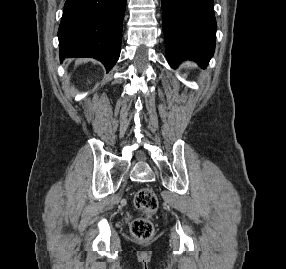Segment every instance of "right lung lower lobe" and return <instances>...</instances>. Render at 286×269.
Returning <instances> with one entry per match:
<instances>
[{
	"mask_svg": "<svg viewBox=\"0 0 286 269\" xmlns=\"http://www.w3.org/2000/svg\"><path fill=\"white\" fill-rule=\"evenodd\" d=\"M126 0H66L58 30L60 58L92 57L107 72L120 55Z\"/></svg>",
	"mask_w": 286,
	"mask_h": 269,
	"instance_id": "right-lung-lower-lobe-1",
	"label": "right lung lower lobe"
}]
</instances>
